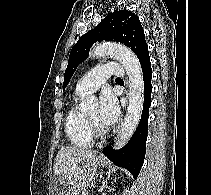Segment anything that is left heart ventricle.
Masks as SVG:
<instances>
[{
	"label": "left heart ventricle",
	"mask_w": 211,
	"mask_h": 195,
	"mask_svg": "<svg viewBox=\"0 0 211 195\" xmlns=\"http://www.w3.org/2000/svg\"><path fill=\"white\" fill-rule=\"evenodd\" d=\"M98 114H99V111L98 110H95L92 113H90L89 116L100 125V123L98 121Z\"/></svg>",
	"instance_id": "b2bd125f"
}]
</instances>
